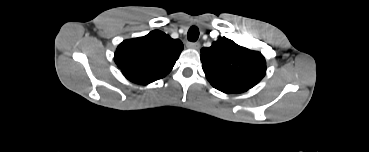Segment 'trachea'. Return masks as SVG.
<instances>
[{
  "mask_svg": "<svg viewBox=\"0 0 369 152\" xmlns=\"http://www.w3.org/2000/svg\"><path fill=\"white\" fill-rule=\"evenodd\" d=\"M187 38L191 42L197 41L199 38V29L196 26L190 27L188 34H187Z\"/></svg>",
  "mask_w": 369,
  "mask_h": 152,
  "instance_id": "trachea-1",
  "label": "trachea"
}]
</instances>
